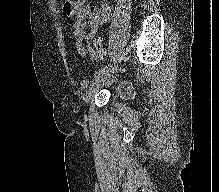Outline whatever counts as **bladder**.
Masks as SVG:
<instances>
[{"label": "bladder", "mask_w": 219, "mask_h": 192, "mask_svg": "<svg viewBox=\"0 0 219 192\" xmlns=\"http://www.w3.org/2000/svg\"><path fill=\"white\" fill-rule=\"evenodd\" d=\"M126 93V88H124L121 92V94H125Z\"/></svg>", "instance_id": "1"}]
</instances>
